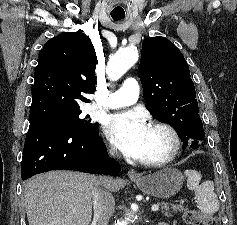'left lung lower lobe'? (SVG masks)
<instances>
[{"label": "left lung lower lobe", "instance_id": "1", "mask_svg": "<svg viewBox=\"0 0 237 225\" xmlns=\"http://www.w3.org/2000/svg\"><path fill=\"white\" fill-rule=\"evenodd\" d=\"M183 148L188 144L193 149L200 147V141L204 139L203 124L199 116H196L191 123L179 133Z\"/></svg>", "mask_w": 237, "mask_h": 225}]
</instances>
